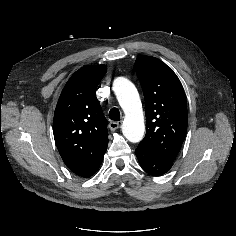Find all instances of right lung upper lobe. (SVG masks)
I'll return each instance as SVG.
<instances>
[{
	"mask_svg": "<svg viewBox=\"0 0 236 236\" xmlns=\"http://www.w3.org/2000/svg\"><path fill=\"white\" fill-rule=\"evenodd\" d=\"M107 71L103 64L84 66L64 86L53 119V133L66 166L88 178L99 168L108 145L107 120L96 88Z\"/></svg>",
	"mask_w": 236,
	"mask_h": 236,
	"instance_id": "cb5924a9",
	"label": "right lung upper lobe"
}]
</instances>
